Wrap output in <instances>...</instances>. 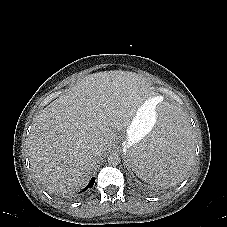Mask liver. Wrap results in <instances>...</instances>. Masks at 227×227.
Instances as JSON below:
<instances>
[{"instance_id": "liver-1", "label": "liver", "mask_w": 227, "mask_h": 227, "mask_svg": "<svg viewBox=\"0 0 227 227\" xmlns=\"http://www.w3.org/2000/svg\"><path fill=\"white\" fill-rule=\"evenodd\" d=\"M148 96L136 73L114 70L83 78L35 120L29 135L35 177L51 193L71 194L85 187L99 157L113 146L116 132L128 127ZM100 143L105 146L96 152Z\"/></svg>"}]
</instances>
